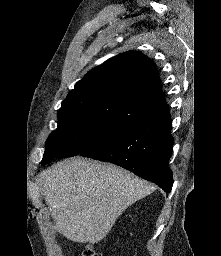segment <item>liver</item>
<instances>
[{"label": "liver", "instance_id": "liver-1", "mask_svg": "<svg viewBox=\"0 0 221 256\" xmlns=\"http://www.w3.org/2000/svg\"><path fill=\"white\" fill-rule=\"evenodd\" d=\"M155 187L110 163L74 157L44 173L43 193L54 228L71 241L95 244L116 219Z\"/></svg>", "mask_w": 221, "mask_h": 256}]
</instances>
